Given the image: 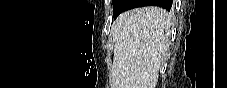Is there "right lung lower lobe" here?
<instances>
[{
	"label": "right lung lower lobe",
	"mask_w": 227,
	"mask_h": 88,
	"mask_svg": "<svg viewBox=\"0 0 227 88\" xmlns=\"http://www.w3.org/2000/svg\"><path fill=\"white\" fill-rule=\"evenodd\" d=\"M142 6H159L170 11L172 0H130L122 12Z\"/></svg>",
	"instance_id": "98d812e1"
}]
</instances>
